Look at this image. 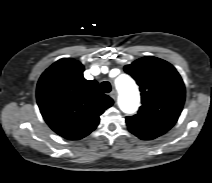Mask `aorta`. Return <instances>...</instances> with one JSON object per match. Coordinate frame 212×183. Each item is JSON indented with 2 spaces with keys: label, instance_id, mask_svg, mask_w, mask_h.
<instances>
[{
  "label": "aorta",
  "instance_id": "aorta-1",
  "mask_svg": "<svg viewBox=\"0 0 212 183\" xmlns=\"http://www.w3.org/2000/svg\"><path fill=\"white\" fill-rule=\"evenodd\" d=\"M119 92V105L126 113H133L137 110L140 102L139 91L133 79L126 74H119L115 80Z\"/></svg>",
  "mask_w": 212,
  "mask_h": 183
}]
</instances>
